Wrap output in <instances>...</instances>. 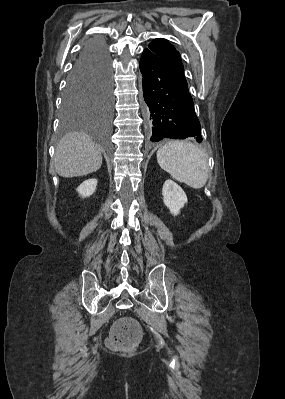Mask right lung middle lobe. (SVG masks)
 Wrapping results in <instances>:
<instances>
[{
	"instance_id": "obj_1",
	"label": "right lung middle lobe",
	"mask_w": 285,
	"mask_h": 399,
	"mask_svg": "<svg viewBox=\"0 0 285 399\" xmlns=\"http://www.w3.org/2000/svg\"><path fill=\"white\" fill-rule=\"evenodd\" d=\"M111 104V67L108 62L96 61L73 68L63 94V129L75 124L91 110L108 120Z\"/></svg>"
}]
</instances>
